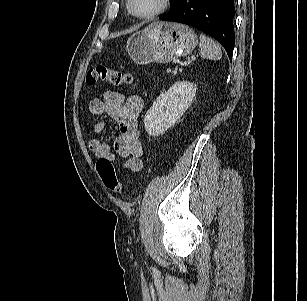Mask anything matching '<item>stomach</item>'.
Segmentation results:
<instances>
[{"label": "stomach", "mask_w": 307, "mask_h": 301, "mask_svg": "<svg viewBox=\"0 0 307 301\" xmlns=\"http://www.w3.org/2000/svg\"><path fill=\"white\" fill-rule=\"evenodd\" d=\"M197 43V35L186 25L154 22L130 36L126 51L137 64L167 63L189 55Z\"/></svg>", "instance_id": "0dacf381"}]
</instances>
